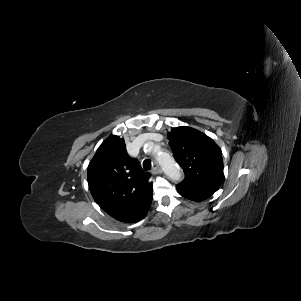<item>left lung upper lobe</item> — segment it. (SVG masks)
<instances>
[{
	"label": "left lung upper lobe",
	"mask_w": 301,
	"mask_h": 301,
	"mask_svg": "<svg viewBox=\"0 0 301 301\" xmlns=\"http://www.w3.org/2000/svg\"><path fill=\"white\" fill-rule=\"evenodd\" d=\"M169 145L185 179L177 184L189 190L213 194L222 180L221 149L204 133L187 127H177L168 133Z\"/></svg>",
	"instance_id": "1"
}]
</instances>
